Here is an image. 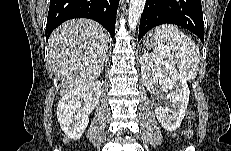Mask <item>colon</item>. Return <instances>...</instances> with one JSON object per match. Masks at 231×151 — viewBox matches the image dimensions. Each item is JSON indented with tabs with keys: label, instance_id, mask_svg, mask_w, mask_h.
I'll return each mask as SVG.
<instances>
[{
	"label": "colon",
	"instance_id": "colon-1",
	"mask_svg": "<svg viewBox=\"0 0 231 151\" xmlns=\"http://www.w3.org/2000/svg\"><path fill=\"white\" fill-rule=\"evenodd\" d=\"M193 117H194L193 112H189L188 115H187L188 120H189V121L192 120ZM186 135H187V136H191V135H192V130H191L190 127H188V128L186 129Z\"/></svg>",
	"mask_w": 231,
	"mask_h": 151
}]
</instances>
